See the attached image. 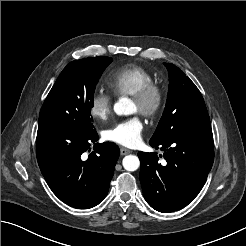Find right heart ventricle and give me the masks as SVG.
Masks as SVG:
<instances>
[{"mask_svg": "<svg viewBox=\"0 0 246 246\" xmlns=\"http://www.w3.org/2000/svg\"><path fill=\"white\" fill-rule=\"evenodd\" d=\"M154 83L153 75L146 69L127 65L112 72L108 85L117 96H133Z\"/></svg>", "mask_w": 246, "mask_h": 246, "instance_id": "1", "label": "right heart ventricle"}]
</instances>
